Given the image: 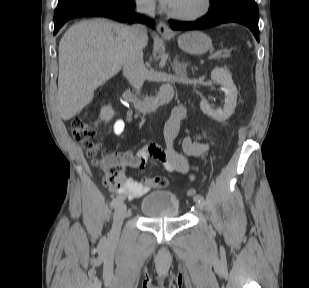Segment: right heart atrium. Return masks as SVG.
<instances>
[{
	"mask_svg": "<svg viewBox=\"0 0 309 288\" xmlns=\"http://www.w3.org/2000/svg\"><path fill=\"white\" fill-rule=\"evenodd\" d=\"M135 4L145 11H151L155 8V0H135Z\"/></svg>",
	"mask_w": 309,
	"mask_h": 288,
	"instance_id": "right-heart-atrium-1",
	"label": "right heart atrium"
}]
</instances>
